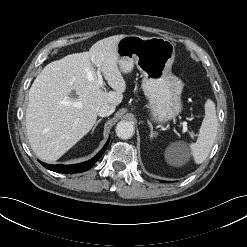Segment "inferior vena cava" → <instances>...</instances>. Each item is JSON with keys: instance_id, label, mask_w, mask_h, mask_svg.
I'll return each mask as SVG.
<instances>
[{"instance_id": "inferior-vena-cava-1", "label": "inferior vena cava", "mask_w": 247, "mask_h": 247, "mask_svg": "<svg viewBox=\"0 0 247 247\" xmlns=\"http://www.w3.org/2000/svg\"><path fill=\"white\" fill-rule=\"evenodd\" d=\"M114 111H115V106L105 104L99 108L98 115L101 117H106V116L111 115Z\"/></svg>"}]
</instances>
